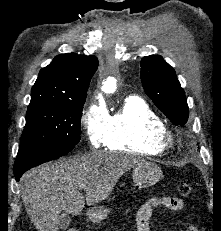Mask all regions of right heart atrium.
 Segmentation results:
<instances>
[{"instance_id": "d8ad5b80", "label": "right heart atrium", "mask_w": 221, "mask_h": 231, "mask_svg": "<svg viewBox=\"0 0 221 231\" xmlns=\"http://www.w3.org/2000/svg\"><path fill=\"white\" fill-rule=\"evenodd\" d=\"M109 114L104 104L92 102L85 110L83 124L91 145L98 147L105 142Z\"/></svg>"}]
</instances>
